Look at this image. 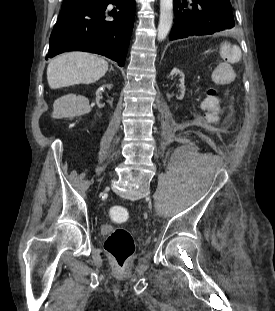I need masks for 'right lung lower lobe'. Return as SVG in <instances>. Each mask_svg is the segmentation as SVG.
I'll use <instances>...</instances> for the list:
<instances>
[{
  "instance_id": "98d812e1",
  "label": "right lung lower lobe",
  "mask_w": 275,
  "mask_h": 311,
  "mask_svg": "<svg viewBox=\"0 0 275 311\" xmlns=\"http://www.w3.org/2000/svg\"><path fill=\"white\" fill-rule=\"evenodd\" d=\"M109 4H115L119 11L109 13ZM135 9V0H88L63 8L51 33L46 59L66 51H86L124 66Z\"/></svg>"
}]
</instances>
